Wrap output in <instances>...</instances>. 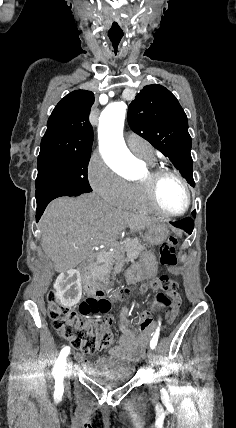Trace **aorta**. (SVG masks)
Here are the masks:
<instances>
[{"mask_svg": "<svg viewBox=\"0 0 236 428\" xmlns=\"http://www.w3.org/2000/svg\"><path fill=\"white\" fill-rule=\"evenodd\" d=\"M127 105L121 102L109 104L99 118V149L104 160L128 178L135 176L136 158L127 148L123 127Z\"/></svg>", "mask_w": 236, "mask_h": 428, "instance_id": "1", "label": "aorta"}]
</instances>
